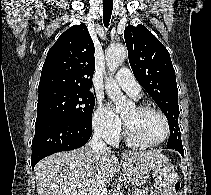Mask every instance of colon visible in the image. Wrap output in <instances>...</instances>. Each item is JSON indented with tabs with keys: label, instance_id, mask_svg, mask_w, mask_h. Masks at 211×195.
I'll list each match as a JSON object with an SVG mask.
<instances>
[{
	"label": "colon",
	"instance_id": "1",
	"mask_svg": "<svg viewBox=\"0 0 211 195\" xmlns=\"http://www.w3.org/2000/svg\"><path fill=\"white\" fill-rule=\"evenodd\" d=\"M180 188V183L177 181L172 185V191L177 192Z\"/></svg>",
	"mask_w": 211,
	"mask_h": 195
}]
</instances>
